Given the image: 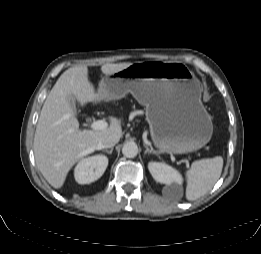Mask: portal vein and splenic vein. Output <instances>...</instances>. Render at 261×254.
I'll return each instance as SVG.
<instances>
[{
    "mask_svg": "<svg viewBox=\"0 0 261 254\" xmlns=\"http://www.w3.org/2000/svg\"><path fill=\"white\" fill-rule=\"evenodd\" d=\"M107 126H108V124L104 120L93 121L90 124V128L93 130H103V129L107 128Z\"/></svg>",
    "mask_w": 261,
    "mask_h": 254,
    "instance_id": "1",
    "label": "portal vein and splenic vein"
}]
</instances>
